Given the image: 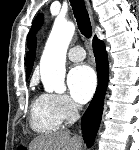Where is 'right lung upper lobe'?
<instances>
[{
	"mask_svg": "<svg viewBox=\"0 0 139 150\" xmlns=\"http://www.w3.org/2000/svg\"><path fill=\"white\" fill-rule=\"evenodd\" d=\"M35 52H36V39H34L30 52H29V56H28V63H27V78L29 77L31 71H32V67L34 64V60H35Z\"/></svg>",
	"mask_w": 139,
	"mask_h": 150,
	"instance_id": "1",
	"label": "right lung upper lobe"
}]
</instances>
